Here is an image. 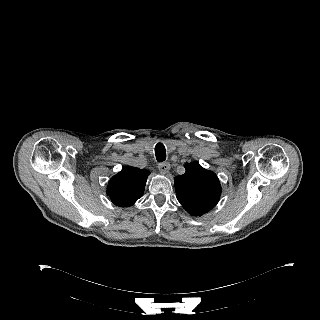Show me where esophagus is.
I'll list each match as a JSON object with an SVG mask.
<instances>
[{
	"mask_svg": "<svg viewBox=\"0 0 320 320\" xmlns=\"http://www.w3.org/2000/svg\"><path fill=\"white\" fill-rule=\"evenodd\" d=\"M158 169L161 173H168L170 170V164L168 162H162L160 164H158Z\"/></svg>",
	"mask_w": 320,
	"mask_h": 320,
	"instance_id": "1",
	"label": "esophagus"
}]
</instances>
